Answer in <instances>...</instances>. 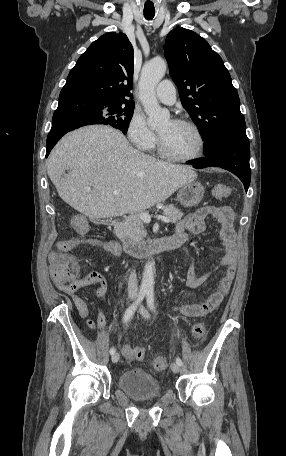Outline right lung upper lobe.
I'll return each instance as SVG.
<instances>
[{
	"label": "right lung upper lobe",
	"mask_w": 286,
	"mask_h": 456,
	"mask_svg": "<svg viewBox=\"0 0 286 456\" xmlns=\"http://www.w3.org/2000/svg\"><path fill=\"white\" fill-rule=\"evenodd\" d=\"M133 60L134 50L127 36L106 33L80 56L62 90L72 89L113 102L134 103L130 93Z\"/></svg>",
	"instance_id": "1"
}]
</instances>
